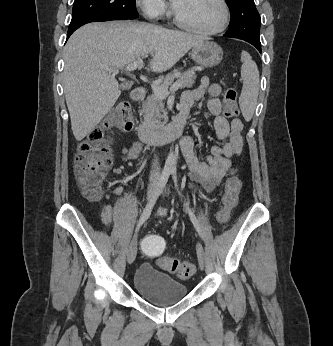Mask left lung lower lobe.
I'll return each mask as SVG.
<instances>
[{
  "instance_id": "obj_1",
  "label": "left lung lower lobe",
  "mask_w": 333,
  "mask_h": 346,
  "mask_svg": "<svg viewBox=\"0 0 333 346\" xmlns=\"http://www.w3.org/2000/svg\"><path fill=\"white\" fill-rule=\"evenodd\" d=\"M224 36L242 39V38H239V37H237V36L230 35V34H227V33H225ZM242 40H245V39H242ZM245 41H247V42H249L250 44H252L253 46H255V47L258 49V51L261 52V43H260V42L253 41V40H245Z\"/></svg>"
}]
</instances>
